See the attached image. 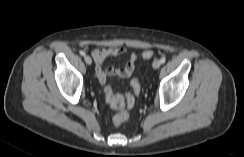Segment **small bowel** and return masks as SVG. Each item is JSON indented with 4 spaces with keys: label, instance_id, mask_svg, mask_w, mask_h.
I'll list each match as a JSON object with an SVG mask.
<instances>
[{
    "label": "small bowel",
    "instance_id": "c3829d8e",
    "mask_svg": "<svg viewBox=\"0 0 244 157\" xmlns=\"http://www.w3.org/2000/svg\"><path fill=\"white\" fill-rule=\"evenodd\" d=\"M126 52L123 47H98L92 50V56L95 62V72L98 81L105 84L108 77H130L134 71L135 63L137 61V54L130 52L127 62L123 67L108 66L104 67V61L108 57H115L122 55Z\"/></svg>",
    "mask_w": 244,
    "mask_h": 157
}]
</instances>
